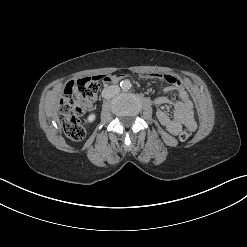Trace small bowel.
Masks as SVG:
<instances>
[{
    "instance_id": "c3829d8e",
    "label": "small bowel",
    "mask_w": 247,
    "mask_h": 247,
    "mask_svg": "<svg viewBox=\"0 0 247 247\" xmlns=\"http://www.w3.org/2000/svg\"><path fill=\"white\" fill-rule=\"evenodd\" d=\"M147 76L158 78L168 84L164 93L158 96L154 102L158 106L171 105L174 109V115L173 117H170L163 110H157L156 116L160 123L174 135H178L183 127H187L189 130L194 131L196 128V122L194 120L193 103L190 100L189 93L181 81L170 74H148ZM122 78L123 75H112L105 77L104 81L106 83H114ZM170 91H175L180 100L172 101L169 99L166 94Z\"/></svg>"
}]
</instances>
